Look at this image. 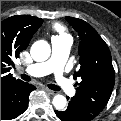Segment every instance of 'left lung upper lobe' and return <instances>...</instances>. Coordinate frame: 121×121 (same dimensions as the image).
I'll return each mask as SVG.
<instances>
[{
	"label": "left lung upper lobe",
	"mask_w": 121,
	"mask_h": 121,
	"mask_svg": "<svg viewBox=\"0 0 121 121\" xmlns=\"http://www.w3.org/2000/svg\"><path fill=\"white\" fill-rule=\"evenodd\" d=\"M70 25L79 33L80 69L74 79L81 78L76 95L71 98L77 107L98 115L107 104L115 82V72L108 46L87 22L66 17Z\"/></svg>",
	"instance_id": "5c2ea615"
}]
</instances>
